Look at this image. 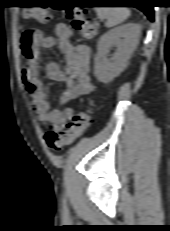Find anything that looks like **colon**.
Returning <instances> with one entry per match:
<instances>
[{
	"instance_id": "1",
	"label": "colon",
	"mask_w": 170,
	"mask_h": 231,
	"mask_svg": "<svg viewBox=\"0 0 170 231\" xmlns=\"http://www.w3.org/2000/svg\"><path fill=\"white\" fill-rule=\"evenodd\" d=\"M87 11L81 8H68L64 15L71 21V25L84 39L92 40L97 27L94 21L86 17ZM26 18L46 23L51 19V14L42 8H31L24 12ZM93 122L91 109H86L73 116L72 120L66 125L65 130L56 132L48 131L45 134L47 146L53 151H61L80 138Z\"/></svg>"
}]
</instances>
